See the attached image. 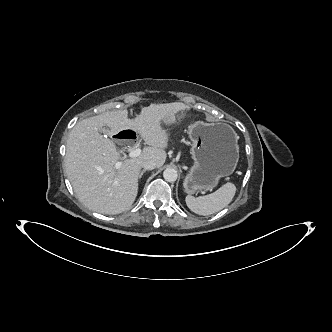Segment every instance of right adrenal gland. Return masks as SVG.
I'll return each mask as SVG.
<instances>
[{"label": "right adrenal gland", "mask_w": 332, "mask_h": 332, "mask_svg": "<svg viewBox=\"0 0 332 332\" xmlns=\"http://www.w3.org/2000/svg\"><path fill=\"white\" fill-rule=\"evenodd\" d=\"M145 172H146V170H142L140 175H139V178H141Z\"/></svg>", "instance_id": "obj_1"}]
</instances>
